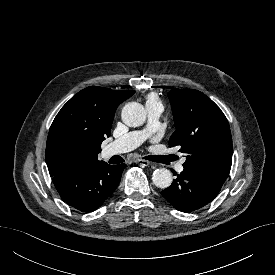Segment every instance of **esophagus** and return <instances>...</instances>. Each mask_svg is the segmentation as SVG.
I'll list each match as a JSON object with an SVG mask.
<instances>
[{
    "mask_svg": "<svg viewBox=\"0 0 275 275\" xmlns=\"http://www.w3.org/2000/svg\"><path fill=\"white\" fill-rule=\"evenodd\" d=\"M137 163L140 164V165H143V166H149L150 165V162L147 161V160H144V159H138Z\"/></svg>",
    "mask_w": 275,
    "mask_h": 275,
    "instance_id": "esophagus-1",
    "label": "esophagus"
}]
</instances>
